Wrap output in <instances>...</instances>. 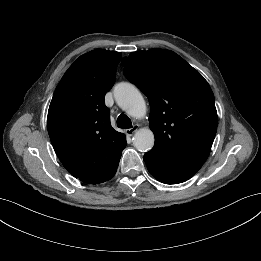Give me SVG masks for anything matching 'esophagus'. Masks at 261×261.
<instances>
[{"label": "esophagus", "instance_id": "1", "mask_svg": "<svg viewBox=\"0 0 261 261\" xmlns=\"http://www.w3.org/2000/svg\"><path fill=\"white\" fill-rule=\"evenodd\" d=\"M139 129V125L136 124L132 128L126 130V134L132 136Z\"/></svg>", "mask_w": 261, "mask_h": 261}]
</instances>
